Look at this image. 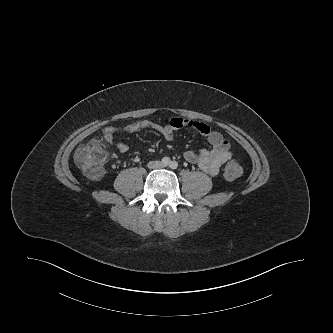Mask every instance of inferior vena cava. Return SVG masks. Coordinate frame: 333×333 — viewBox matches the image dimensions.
Wrapping results in <instances>:
<instances>
[{
    "label": "inferior vena cava",
    "mask_w": 333,
    "mask_h": 333,
    "mask_svg": "<svg viewBox=\"0 0 333 333\" xmlns=\"http://www.w3.org/2000/svg\"><path fill=\"white\" fill-rule=\"evenodd\" d=\"M162 164L160 161H150L148 163V168L150 169H157V168H161Z\"/></svg>",
    "instance_id": "1"
}]
</instances>
